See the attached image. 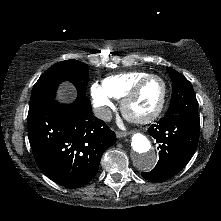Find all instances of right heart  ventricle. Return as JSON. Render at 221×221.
Listing matches in <instances>:
<instances>
[{"label":"right heart ventricle","instance_id":"right-heart-ventricle-1","mask_svg":"<svg viewBox=\"0 0 221 221\" xmlns=\"http://www.w3.org/2000/svg\"><path fill=\"white\" fill-rule=\"evenodd\" d=\"M148 74L144 71H133L111 75L103 80L102 86L110 97L122 99L138 80Z\"/></svg>","mask_w":221,"mask_h":221}]
</instances>
